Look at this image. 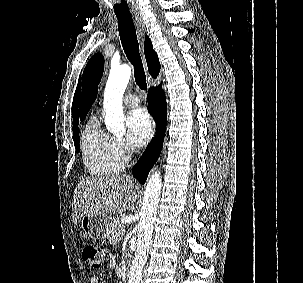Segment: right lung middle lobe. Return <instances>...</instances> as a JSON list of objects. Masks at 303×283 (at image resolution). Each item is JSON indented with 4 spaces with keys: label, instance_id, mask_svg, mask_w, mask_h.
I'll use <instances>...</instances> for the list:
<instances>
[{
    "label": "right lung middle lobe",
    "instance_id": "dd1d6c3e",
    "mask_svg": "<svg viewBox=\"0 0 303 283\" xmlns=\"http://www.w3.org/2000/svg\"><path fill=\"white\" fill-rule=\"evenodd\" d=\"M73 137H74V144L76 148V152H79V128L78 126L73 128Z\"/></svg>",
    "mask_w": 303,
    "mask_h": 283
}]
</instances>
